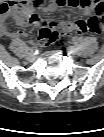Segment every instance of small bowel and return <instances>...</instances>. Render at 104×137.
I'll use <instances>...</instances> for the list:
<instances>
[{"mask_svg":"<svg viewBox=\"0 0 104 137\" xmlns=\"http://www.w3.org/2000/svg\"><path fill=\"white\" fill-rule=\"evenodd\" d=\"M63 6L78 8L86 15L93 16L87 20L79 19L58 25L56 21L47 20L36 13V9L40 7L45 12H54ZM103 14L104 4L100 0H48L46 4L43 3V0H10L0 6V33L9 38H21L26 35L23 30L11 31L9 29L8 21L12 19L20 27H27L31 24L38 26L50 25L59 26L64 34H97L102 31ZM95 16L102 18V23L99 27H95L90 23Z\"/></svg>","mask_w":104,"mask_h":137,"instance_id":"c3829d8e","label":"small bowel"}]
</instances>
